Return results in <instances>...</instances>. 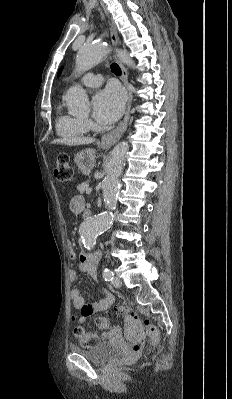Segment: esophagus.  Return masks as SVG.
Wrapping results in <instances>:
<instances>
[{
  "instance_id": "34e87169",
  "label": "esophagus",
  "mask_w": 232,
  "mask_h": 399,
  "mask_svg": "<svg viewBox=\"0 0 232 399\" xmlns=\"http://www.w3.org/2000/svg\"><path fill=\"white\" fill-rule=\"evenodd\" d=\"M102 6L105 10V13L109 16V12H108L107 8L104 6V4H102ZM110 34H111V42H112L113 46L117 47V45L119 44V36H118L117 29L115 27V24L112 22V20L110 22ZM117 62L119 64V67L122 72L121 80L124 83V85L128 91L127 107H126L125 115H124L123 119L121 120L120 124L118 125V127L114 130H111L110 132H107L106 134H104L101 137V147L102 148L111 147L116 142H118V140L121 138V135H123L124 132L126 131L128 122H129V118H130V109H131L133 95H132V91L129 86L128 74H127L126 68L119 60H117Z\"/></svg>"
}]
</instances>
